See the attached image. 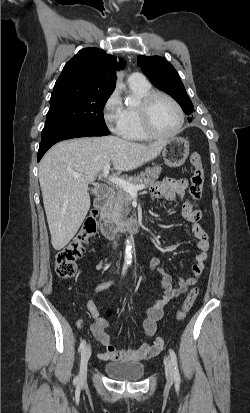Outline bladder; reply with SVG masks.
I'll use <instances>...</instances> for the list:
<instances>
[{
	"mask_svg": "<svg viewBox=\"0 0 250 413\" xmlns=\"http://www.w3.org/2000/svg\"><path fill=\"white\" fill-rule=\"evenodd\" d=\"M103 369L109 377L121 381L140 380L144 377L146 372L144 364L132 361L107 363L104 365Z\"/></svg>",
	"mask_w": 250,
	"mask_h": 413,
	"instance_id": "31cf9c89",
	"label": "bladder"
}]
</instances>
